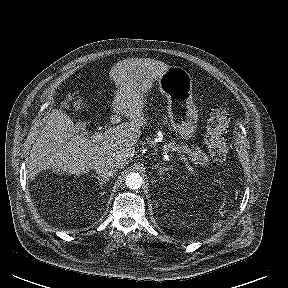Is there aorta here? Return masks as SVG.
Returning a JSON list of instances; mask_svg holds the SVG:
<instances>
[{
    "label": "aorta",
    "mask_w": 288,
    "mask_h": 288,
    "mask_svg": "<svg viewBox=\"0 0 288 288\" xmlns=\"http://www.w3.org/2000/svg\"><path fill=\"white\" fill-rule=\"evenodd\" d=\"M126 186L129 189L136 190L142 186L143 178L139 173H129L125 179Z\"/></svg>",
    "instance_id": "1"
}]
</instances>
